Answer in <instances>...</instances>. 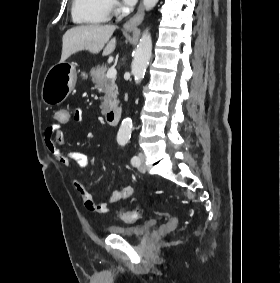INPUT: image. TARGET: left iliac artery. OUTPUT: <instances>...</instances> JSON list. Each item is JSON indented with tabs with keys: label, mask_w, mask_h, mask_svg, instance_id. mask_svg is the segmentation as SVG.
<instances>
[{
	"label": "left iliac artery",
	"mask_w": 280,
	"mask_h": 283,
	"mask_svg": "<svg viewBox=\"0 0 280 283\" xmlns=\"http://www.w3.org/2000/svg\"><path fill=\"white\" fill-rule=\"evenodd\" d=\"M138 162H139V159H138L137 156H134V157L131 159V163H132L133 166H137Z\"/></svg>",
	"instance_id": "1"
}]
</instances>
